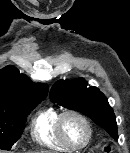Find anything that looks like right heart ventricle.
Instances as JSON below:
<instances>
[{"label":"right heart ventricle","mask_w":130,"mask_h":153,"mask_svg":"<svg viewBox=\"0 0 130 153\" xmlns=\"http://www.w3.org/2000/svg\"><path fill=\"white\" fill-rule=\"evenodd\" d=\"M60 111L48 106L40 109L31 119L30 134L34 142L48 149L69 151L56 131V121Z\"/></svg>","instance_id":"1"}]
</instances>
